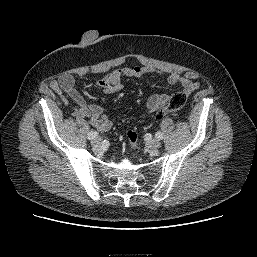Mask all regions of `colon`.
Instances as JSON below:
<instances>
[{
	"label": "colon",
	"instance_id": "obj_1",
	"mask_svg": "<svg viewBox=\"0 0 257 257\" xmlns=\"http://www.w3.org/2000/svg\"><path fill=\"white\" fill-rule=\"evenodd\" d=\"M187 101V94L184 92H178L169 97L165 106L160 108L156 114L157 119L163 118L167 113L174 112L182 109ZM128 145L134 148L137 143V135L133 131L127 132L126 135Z\"/></svg>",
	"mask_w": 257,
	"mask_h": 257
}]
</instances>
